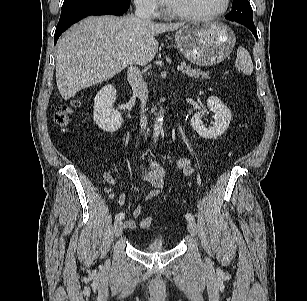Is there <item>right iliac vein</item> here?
I'll list each match as a JSON object with an SVG mask.
<instances>
[{"mask_svg": "<svg viewBox=\"0 0 307 301\" xmlns=\"http://www.w3.org/2000/svg\"><path fill=\"white\" fill-rule=\"evenodd\" d=\"M113 231H114V236L115 237H118L122 234V231H123V224L121 221H116L114 223V228H113Z\"/></svg>", "mask_w": 307, "mask_h": 301, "instance_id": "1", "label": "right iliac vein"}]
</instances>
